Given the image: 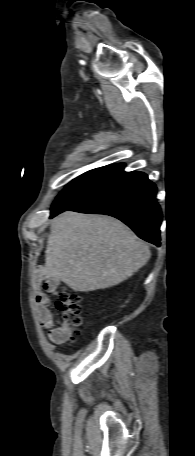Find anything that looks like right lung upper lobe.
Listing matches in <instances>:
<instances>
[{
  "instance_id": "right-lung-upper-lobe-1",
  "label": "right lung upper lobe",
  "mask_w": 195,
  "mask_h": 456,
  "mask_svg": "<svg viewBox=\"0 0 195 456\" xmlns=\"http://www.w3.org/2000/svg\"><path fill=\"white\" fill-rule=\"evenodd\" d=\"M105 167H107V168H115V169H122L123 170L124 164L123 163L113 164V165H108V166H105Z\"/></svg>"
}]
</instances>
